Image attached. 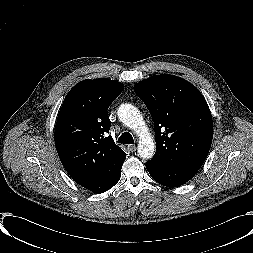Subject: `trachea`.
I'll return each instance as SVG.
<instances>
[{
	"instance_id": "3493384b",
	"label": "trachea",
	"mask_w": 253,
	"mask_h": 253,
	"mask_svg": "<svg viewBox=\"0 0 253 253\" xmlns=\"http://www.w3.org/2000/svg\"><path fill=\"white\" fill-rule=\"evenodd\" d=\"M118 143L122 144H133L134 139L132 135L128 132H124L119 138H118Z\"/></svg>"
}]
</instances>
